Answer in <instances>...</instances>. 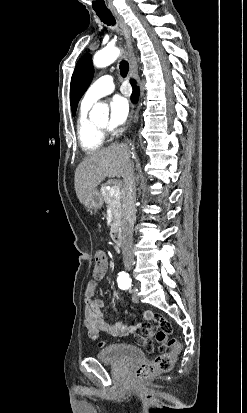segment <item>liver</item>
Instances as JSON below:
<instances>
[{
    "label": "liver",
    "mask_w": 247,
    "mask_h": 413,
    "mask_svg": "<svg viewBox=\"0 0 247 413\" xmlns=\"http://www.w3.org/2000/svg\"><path fill=\"white\" fill-rule=\"evenodd\" d=\"M130 152L123 142H113L106 148L95 150L79 162L75 170V190L80 202H84L92 190L106 176H122Z\"/></svg>",
    "instance_id": "1"
}]
</instances>
